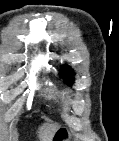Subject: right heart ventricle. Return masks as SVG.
<instances>
[{
    "instance_id": "1",
    "label": "right heart ventricle",
    "mask_w": 119,
    "mask_h": 141,
    "mask_svg": "<svg viewBox=\"0 0 119 141\" xmlns=\"http://www.w3.org/2000/svg\"><path fill=\"white\" fill-rule=\"evenodd\" d=\"M49 96L55 98V95L52 93H50Z\"/></svg>"
}]
</instances>
